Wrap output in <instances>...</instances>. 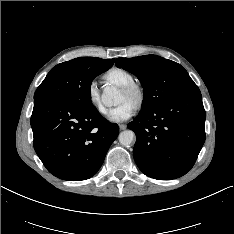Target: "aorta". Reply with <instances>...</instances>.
I'll use <instances>...</instances> for the list:
<instances>
[{"label":"aorta","mask_w":234,"mask_h":234,"mask_svg":"<svg viewBox=\"0 0 234 234\" xmlns=\"http://www.w3.org/2000/svg\"><path fill=\"white\" fill-rule=\"evenodd\" d=\"M116 93H117V90L115 88H112V87L106 88L102 95L103 103L106 105H111L113 102V96L116 95ZM134 136L135 134L131 130L122 131L118 137L119 142L123 146H129L133 143Z\"/></svg>","instance_id":"762f6f07"}]
</instances>
